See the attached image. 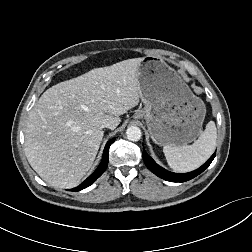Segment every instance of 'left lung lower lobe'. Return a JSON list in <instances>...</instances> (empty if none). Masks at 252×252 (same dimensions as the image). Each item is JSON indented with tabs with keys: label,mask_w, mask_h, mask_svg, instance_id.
Returning <instances> with one entry per match:
<instances>
[{
	"label": "left lung lower lobe",
	"mask_w": 252,
	"mask_h": 252,
	"mask_svg": "<svg viewBox=\"0 0 252 252\" xmlns=\"http://www.w3.org/2000/svg\"><path fill=\"white\" fill-rule=\"evenodd\" d=\"M215 157V153L209 158V160L203 164L200 168H198L195 171L185 173V174H177L173 172H169L165 170L164 168L160 167L158 164L155 163V161L146 153V151L143 149V160L147 166V168L152 171L154 174L159 176L160 178H163L167 181L171 182H185L188 181L200 173H202L213 161Z\"/></svg>",
	"instance_id": "obj_1"
}]
</instances>
